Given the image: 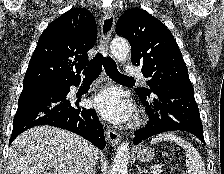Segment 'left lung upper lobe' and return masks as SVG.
<instances>
[{"label": "left lung upper lobe", "instance_id": "5c2ea615", "mask_svg": "<svg viewBox=\"0 0 224 174\" xmlns=\"http://www.w3.org/2000/svg\"><path fill=\"white\" fill-rule=\"evenodd\" d=\"M116 33L131 45V61L142 67L149 78L147 85H175L192 87L188 69L181 51L164 24L147 11L133 8L120 16ZM137 93L149 94V89H136Z\"/></svg>", "mask_w": 224, "mask_h": 174}]
</instances>
